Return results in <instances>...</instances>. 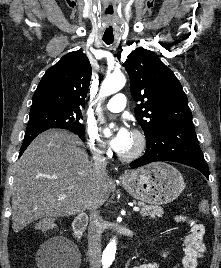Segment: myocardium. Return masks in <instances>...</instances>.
<instances>
[{
  "label": "myocardium",
  "mask_w": 221,
  "mask_h": 268,
  "mask_svg": "<svg viewBox=\"0 0 221 268\" xmlns=\"http://www.w3.org/2000/svg\"><path fill=\"white\" fill-rule=\"evenodd\" d=\"M132 134L135 136L137 140L136 149L130 154L119 153L118 155L119 158L125 162H130V161L138 159L139 157L143 155V153L146 150L147 139H146L145 134L138 129L133 130Z\"/></svg>",
  "instance_id": "f54148a6"
}]
</instances>
